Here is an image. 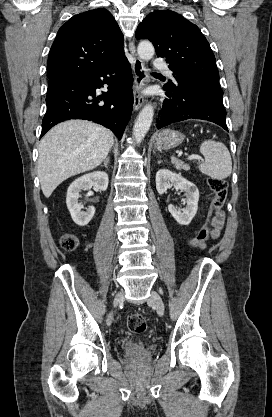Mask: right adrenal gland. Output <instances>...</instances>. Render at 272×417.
Returning <instances> with one entry per match:
<instances>
[{
	"label": "right adrenal gland",
	"instance_id": "1",
	"mask_svg": "<svg viewBox=\"0 0 272 417\" xmlns=\"http://www.w3.org/2000/svg\"><path fill=\"white\" fill-rule=\"evenodd\" d=\"M109 161H110L109 157H106L105 160H104L103 165H101V166H104L105 168H108Z\"/></svg>",
	"mask_w": 272,
	"mask_h": 417
}]
</instances>
